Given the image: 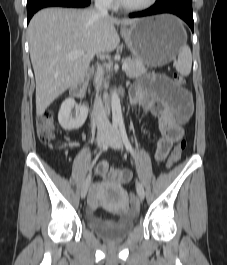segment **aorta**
Instances as JSON below:
<instances>
[{
    "mask_svg": "<svg viewBox=\"0 0 227 265\" xmlns=\"http://www.w3.org/2000/svg\"><path fill=\"white\" fill-rule=\"evenodd\" d=\"M111 108H112V121L113 123H119L122 121V111L120 99L116 91L111 94Z\"/></svg>",
    "mask_w": 227,
    "mask_h": 265,
    "instance_id": "1",
    "label": "aorta"
}]
</instances>
